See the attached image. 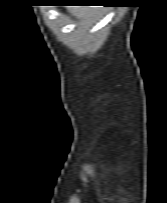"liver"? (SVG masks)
Masks as SVG:
<instances>
[{"label":"liver","mask_w":167,"mask_h":203,"mask_svg":"<svg viewBox=\"0 0 167 203\" xmlns=\"http://www.w3.org/2000/svg\"><path fill=\"white\" fill-rule=\"evenodd\" d=\"M68 10L72 15L76 16L78 19L82 21L88 20L95 12L94 9H89L84 7H75Z\"/></svg>","instance_id":"1"}]
</instances>
